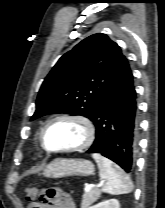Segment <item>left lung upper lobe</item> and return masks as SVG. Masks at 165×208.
<instances>
[{"label":"left lung upper lobe","instance_id":"1","mask_svg":"<svg viewBox=\"0 0 165 208\" xmlns=\"http://www.w3.org/2000/svg\"><path fill=\"white\" fill-rule=\"evenodd\" d=\"M127 59L102 33L89 36L64 54L45 78L32 120L53 112L94 119L105 92Z\"/></svg>","mask_w":165,"mask_h":208}]
</instances>
